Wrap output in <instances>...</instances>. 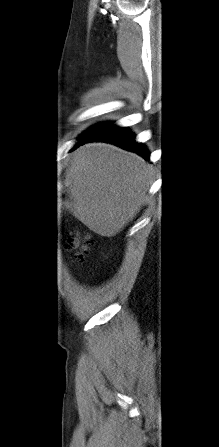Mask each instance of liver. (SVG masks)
Masks as SVG:
<instances>
[{
	"mask_svg": "<svg viewBox=\"0 0 219 447\" xmlns=\"http://www.w3.org/2000/svg\"><path fill=\"white\" fill-rule=\"evenodd\" d=\"M69 210L101 236L118 234L140 211L153 182L152 167L108 143L81 146L70 167Z\"/></svg>",
	"mask_w": 219,
	"mask_h": 447,
	"instance_id": "6515ba94",
	"label": "liver"
}]
</instances>
